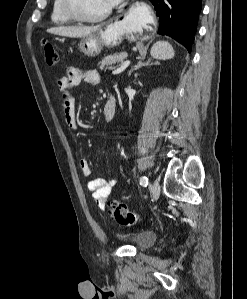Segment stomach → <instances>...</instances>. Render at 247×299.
Returning <instances> with one entry per match:
<instances>
[{
	"mask_svg": "<svg viewBox=\"0 0 247 299\" xmlns=\"http://www.w3.org/2000/svg\"><path fill=\"white\" fill-rule=\"evenodd\" d=\"M128 35L122 21L106 22L91 35L83 37L79 43L80 51L87 57L97 56L104 47L112 48L119 45Z\"/></svg>",
	"mask_w": 247,
	"mask_h": 299,
	"instance_id": "1",
	"label": "stomach"
}]
</instances>
